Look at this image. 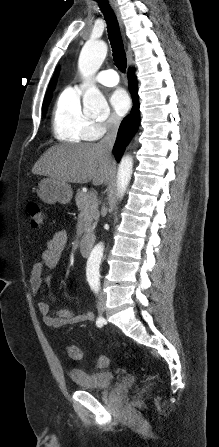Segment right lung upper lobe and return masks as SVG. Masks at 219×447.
Returning a JSON list of instances; mask_svg holds the SVG:
<instances>
[{
  "mask_svg": "<svg viewBox=\"0 0 219 447\" xmlns=\"http://www.w3.org/2000/svg\"><path fill=\"white\" fill-rule=\"evenodd\" d=\"M56 77H57V74L54 75V77L52 78V80H51V82L49 84V90L46 93L45 99L48 98V97H51V91L50 90H52L53 87H54Z\"/></svg>",
  "mask_w": 219,
  "mask_h": 447,
  "instance_id": "obj_1",
  "label": "right lung upper lobe"
}]
</instances>
